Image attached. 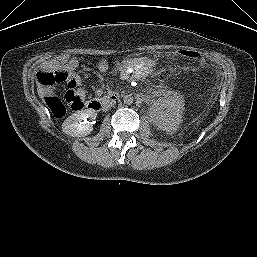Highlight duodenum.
<instances>
[{"mask_svg":"<svg viewBox=\"0 0 257 257\" xmlns=\"http://www.w3.org/2000/svg\"><path fill=\"white\" fill-rule=\"evenodd\" d=\"M119 99V94L116 92H110L103 97L89 100L87 102L86 108L89 111L98 112L102 109L109 108Z\"/></svg>","mask_w":257,"mask_h":257,"instance_id":"1","label":"duodenum"}]
</instances>
